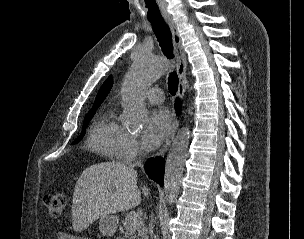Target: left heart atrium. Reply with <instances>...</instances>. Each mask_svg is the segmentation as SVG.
Wrapping results in <instances>:
<instances>
[{
    "instance_id": "left-heart-atrium-1",
    "label": "left heart atrium",
    "mask_w": 304,
    "mask_h": 239,
    "mask_svg": "<svg viewBox=\"0 0 304 239\" xmlns=\"http://www.w3.org/2000/svg\"><path fill=\"white\" fill-rule=\"evenodd\" d=\"M171 128V118L165 108L154 110L143 134V143L147 149H154L165 139Z\"/></svg>"
}]
</instances>
